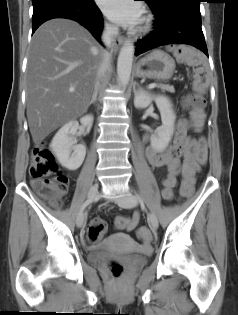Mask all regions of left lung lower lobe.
Here are the masks:
<instances>
[{
	"mask_svg": "<svg viewBox=\"0 0 238 315\" xmlns=\"http://www.w3.org/2000/svg\"><path fill=\"white\" fill-rule=\"evenodd\" d=\"M201 0H163L150 6L154 20V31L136 43L138 56L155 47L167 44H189L208 56L201 28Z\"/></svg>",
	"mask_w": 238,
	"mask_h": 315,
	"instance_id": "obj_1",
	"label": "left lung lower lobe"
}]
</instances>
